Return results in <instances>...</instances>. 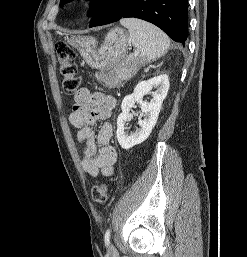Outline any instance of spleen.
Instances as JSON below:
<instances>
[{"label":"spleen","mask_w":247,"mask_h":257,"mask_svg":"<svg viewBox=\"0 0 247 257\" xmlns=\"http://www.w3.org/2000/svg\"><path fill=\"white\" fill-rule=\"evenodd\" d=\"M120 23L128 29L132 44L143 61H154L167 52L170 40L158 27L136 18L121 19Z\"/></svg>","instance_id":"1"}]
</instances>
